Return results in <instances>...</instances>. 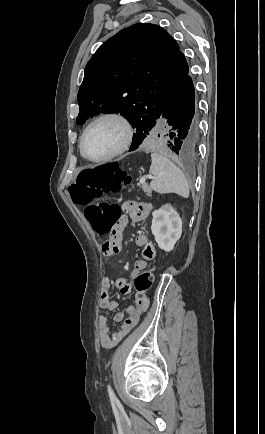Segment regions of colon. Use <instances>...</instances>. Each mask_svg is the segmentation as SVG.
Segmentation results:
<instances>
[{
	"label": "colon",
	"mask_w": 265,
	"mask_h": 434,
	"mask_svg": "<svg viewBox=\"0 0 265 434\" xmlns=\"http://www.w3.org/2000/svg\"><path fill=\"white\" fill-rule=\"evenodd\" d=\"M130 177L119 167L115 158L109 164H86L80 168L79 176L73 184L67 185L70 193V202H81L84 205L85 217L93 230L101 236H109L120 218V208L115 202L101 200L103 193H118L129 186ZM140 270L134 280L136 288L135 316L131 319H122L118 337L121 338L139 321L148 306V291L154 284L151 270ZM131 289V288H130Z\"/></svg>",
	"instance_id": "obj_1"
}]
</instances>
